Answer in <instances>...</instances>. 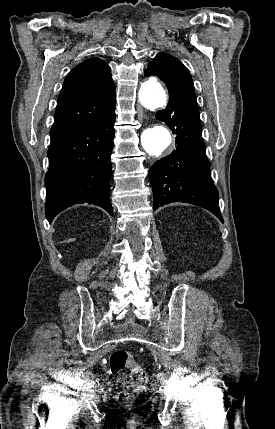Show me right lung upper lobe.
Returning <instances> with one entry per match:
<instances>
[{"mask_svg":"<svg viewBox=\"0 0 275 429\" xmlns=\"http://www.w3.org/2000/svg\"><path fill=\"white\" fill-rule=\"evenodd\" d=\"M115 95L110 67L97 58L85 60L63 83L50 135L110 118L115 114Z\"/></svg>","mask_w":275,"mask_h":429,"instance_id":"obj_1","label":"right lung upper lobe"}]
</instances>
